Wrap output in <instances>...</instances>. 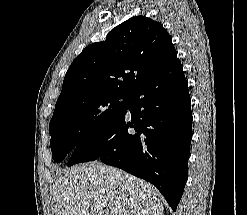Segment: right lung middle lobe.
<instances>
[{
    "instance_id": "1",
    "label": "right lung middle lobe",
    "mask_w": 247,
    "mask_h": 215,
    "mask_svg": "<svg viewBox=\"0 0 247 215\" xmlns=\"http://www.w3.org/2000/svg\"><path fill=\"white\" fill-rule=\"evenodd\" d=\"M129 95L100 94L67 103L49 124L52 158L63 161L75 147L103 129L126 109Z\"/></svg>"
}]
</instances>
